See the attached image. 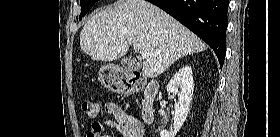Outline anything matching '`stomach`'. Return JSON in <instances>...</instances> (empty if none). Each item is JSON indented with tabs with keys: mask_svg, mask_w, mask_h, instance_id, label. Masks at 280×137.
<instances>
[{
	"mask_svg": "<svg viewBox=\"0 0 280 137\" xmlns=\"http://www.w3.org/2000/svg\"><path fill=\"white\" fill-rule=\"evenodd\" d=\"M99 78L101 82L107 87L109 90L114 92L123 93L125 89L118 85L117 80L113 77L112 67L110 65H105L101 67L99 72Z\"/></svg>",
	"mask_w": 280,
	"mask_h": 137,
	"instance_id": "1",
	"label": "stomach"
}]
</instances>
